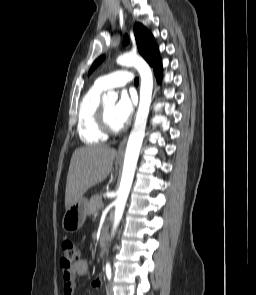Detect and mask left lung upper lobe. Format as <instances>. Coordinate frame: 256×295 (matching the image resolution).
Listing matches in <instances>:
<instances>
[{
    "label": "left lung upper lobe",
    "mask_w": 256,
    "mask_h": 295,
    "mask_svg": "<svg viewBox=\"0 0 256 295\" xmlns=\"http://www.w3.org/2000/svg\"><path fill=\"white\" fill-rule=\"evenodd\" d=\"M134 34L138 50L149 65L152 67L161 65L158 46L156 45L152 34L139 23L134 26ZM124 43H128L127 35L124 37ZM103 59L104 56H101L93 63L89 74L102 62Z\"/></svg>",
    "instance_id": "5c2ea615"
}]
</instances>
